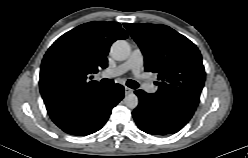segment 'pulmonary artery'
Masks as SVG:
<instances>
[{
  "label": "pulmonary artery",
  "mask_w": 248,
  "mask_h": 158,
  "mask_svg": "<svg viewBox=\"0 0 248 158\" xmlns=\"http://www.w3.org/2000/svg\"><path fill=\"white\" fill-rule=\"evenodd\" d=\"M143 63L144 56L142 54V51L136 48L132 51L131 55L125 62L121 63L114 69H111L109 72L112 75H122L128 71H132L138 80H142L141 70L143 67ZM142 87L148 92L155 91L153 85L148 83H143Z\"/></svg>",
  "instance_id": "1"
}]
</instances>
